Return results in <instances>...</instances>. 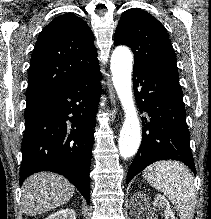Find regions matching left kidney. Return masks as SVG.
<instances>
[{
  "label": "left kidney",
  "mask_w": 211,
  "mask_h": 219,
  "mask_svg": "<svg viewBox=\"0 0 211 219\" xmlns=\"http://www.w3.org/2000/svg\"><path fill=\"white\" fill-rule=\"evenodd\" d=\"M143 197H145V195H142V198ZM159 210L164 212L165 219H176L174 213L172 212L170 208V204L168 200L160 194L155 198L151 206L148 207V210L145 214V218L146 219H157L156 213Z\"/></svg>",
  "instance_id": "left-kidney-1"
}]
</instances>
